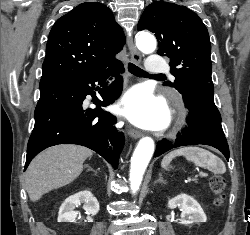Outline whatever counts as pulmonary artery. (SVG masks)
<instances>
[{"mask_svg": "<svg viewBox=\"0 0 250 235\" xmlns=\"http://www.w3.org/2000/svg\"><path fill=\"white\" fill-rule=\"evenodd\" d=\"M168 66L166 61L160 54L152 53L148 57L146 63V70L152 74L165 73L167 72Z\"/></svg>", "mask_w": 250, "mask_h": 235, "instance_id": "pulmonary-artery-1", "label": "pulmonary artery"}]
</instances>
